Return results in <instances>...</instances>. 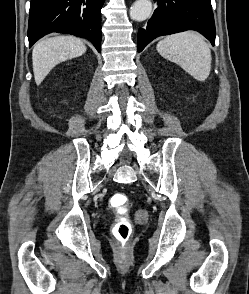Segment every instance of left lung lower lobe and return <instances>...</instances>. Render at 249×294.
Masks as SVG:
<instances>
[{"mask_svg": "<svg viewBox=\"0 0 249 294\" xmlns=\"http://www.w3.org/2000/svg\"><path fill=\"white\" fill-rule=\"evenodd\" d=\"M158 8L145 29L138 30V52L153 39L196 30L215 45V24L210 0H156Z\"/></svg>", "mask_w": 249, "mask_h": 294, "instance_id": "obj_1", "label": "left lung lower lobe"}]
</instances>
